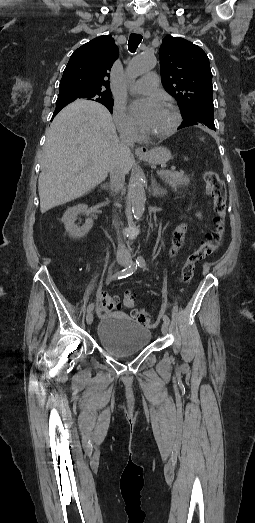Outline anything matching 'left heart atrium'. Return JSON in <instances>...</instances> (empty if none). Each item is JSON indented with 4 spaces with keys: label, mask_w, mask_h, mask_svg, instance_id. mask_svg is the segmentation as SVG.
I'll use <instances>...</instances> for the list:
<instances>
[{
    "label": "left heart atrium",
    "mask_w": 255,
    "mask_h": 523,
    "mask_svg": "<svg viewBox=\"0 0 255 523\" xmlns=\"http://www.w3.org/2000/svg\"><path fill=\"white\" fill-rule=\"evenodd\" d=\"M158 106L159 105L155 100L136 102L132 107V116L135 123L144 129Z\"/></svg>",
    "instance_id": "left-heart-atrium-1"
}]
</instances>
